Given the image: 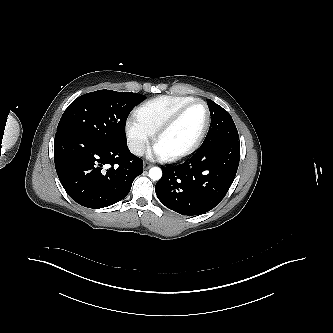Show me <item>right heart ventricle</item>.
Instances as JSON below:
<instances>
[{
	"label": "right heart ventricle",
	"instance_id": "obj_1",
	"mask_svg": "<svg viewBox=\"0 0 333 333\" xmlns=\"http://www.w3.org/2000/svg\"><path fill=\"white\" fill-rule=\"evenodd\" d=\"M193 97L163 95L141 104L135 111V118L151 133L157 129L182 105Z\"/></svg>",
	"mask_w": 333,
	"mask_h": 333
}]
</instances>
